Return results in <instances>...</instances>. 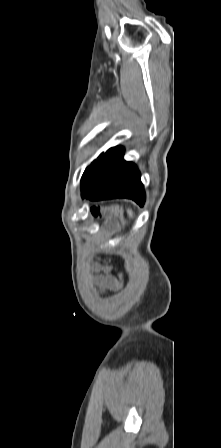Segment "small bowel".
I'll return each mask as SVG.
<instances>
[{"instance_id": "1", "label": "small bowel", "mask_w": 221, "mask_h": 448, "mask_svg": "<svg viewBox=\"0 0 221 448\" xmlns=\"http://www.w3.org/2000/svg\"><path fill=\"white\" fill-rule=\"evenodd\" d=\"M99 283L104 289L116 290L120 287V275L115 276L109 268H106L99 277Z\"/></svg>"}]
</instances>
